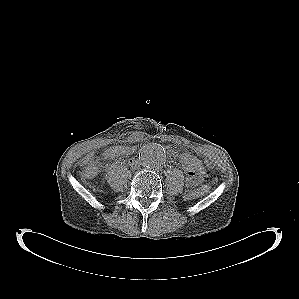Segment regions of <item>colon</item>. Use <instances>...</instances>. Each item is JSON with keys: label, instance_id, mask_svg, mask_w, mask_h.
<instances>
[{"label": "colon", "instance_id": "5ec220e1", "mask_svg": "<svg viewBox=\"0 0 299 299\" xmlns=\"http://www.w3.org/2000/svg\"><path fill=\"white\" fill-rule=\"evenodd\" d=\"M179 160L183 167L185 169H190L195 172H200L203 170V165L201 160L194 154L187 152V151H181L178 155ZM83 167V174L86 177H93L97 172V167L92 161L90 157H86L82 160L81 163ZM209 190L208 184H203L200 187H198L196 190L191 192V197H199L203 194H205Z\"/></svg>", "mask_w": 299, "mask_h": 299}]
</instances>
